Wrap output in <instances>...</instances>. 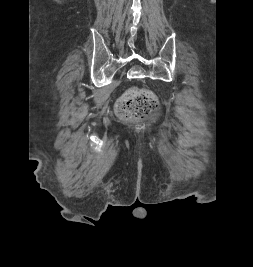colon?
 <instances>
[{
  "label": "colon",
  "instance_id": "obj_1",
  "mask_svg": "<svg viewBox=\"0 0 253 267\" xmlns=\"http://www.w3.org/2000/svg\"><path fill=\"white\" fill-rule=\"evenodd\" d=\"M157 105V98L151 90L134 87L118 99L116 111L120 118L134 120L150 115Z\"/></svg>",
  "mask_w": 253,
  "mask_h": 267
}]
</instances>
